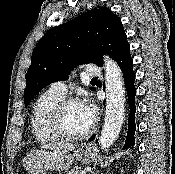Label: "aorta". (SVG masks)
<instances>
[{
	"label": "aorta",
	"mask_w": 175,
	"mask_h": 174,
	"mask_svg": "<svg viewBox=\"0 0 175 174\" xmlns=\"http://www.w3.org/2000/svg\"><path fill=\"white\" fill-rule=\"evenodd\" d=\"M106 111L100 146L107 151L118 137L125 117V90L120 67L109 57L104 58Z\"/></svg>",
	"instance_id": "762f6f07"
}]
</instances>
